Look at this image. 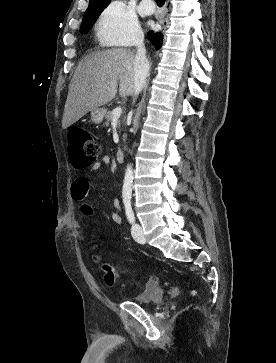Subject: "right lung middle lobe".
<instances>
[{
  "label": "right lung middle lobe",
  "mask_w": 276,
  "mask_h": 363,
  "mask_svg": "<svg viewBox=\"0 0 276 363\" xmlns=\"http://www.w3.org/2000/svg\"><path fill=\"white\" fill-rule=\"evenodd\" d=\"M106 7V4H91L88 6L86 10L83 22L81 24L80 32L87 33L93 27L94 23L96 22L98 16Z\"/></svg>",
  "instance_id": "1"
}]
</instances>
